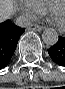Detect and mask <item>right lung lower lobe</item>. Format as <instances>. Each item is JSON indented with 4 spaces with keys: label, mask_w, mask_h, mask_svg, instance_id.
<instances>
[{
    "label": "right lung lower lobe",
    "mask_w": 65,
    "mask_h": 89,
    "mask_svg": "<svg viewBox=\"0 0 65 89\" xmlns=\"http://www.w3.org/2000/svg\"><path fill=\"white\" fill-rule=\"evenodd\" d=\"M24 31L10 20L0 23V69L8 65Z\"/></svg>",
    "instance_id": "1"
}]
</instances>
